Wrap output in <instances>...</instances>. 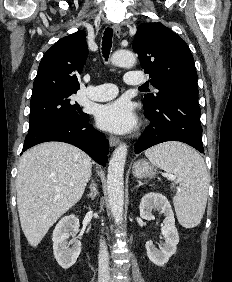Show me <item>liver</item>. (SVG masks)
Wrapping results in <instances>:
<instances>
[{
    "instance_id": "1",
    "label": "liver",
    "mask_w": 232,
    "mask_h": 282,
    "mask_svg": "<svg viewBox=\"0 0 232 282\" xmlns=\"http://www.w3.org/2000/svg\"><path fill=\"white\" fill-rule=\"evenodd\" d=\"M91 175L90 157L70 144L46 142L22 155L17 205L22 230L32 247L81 199Z\"/></svg>"
}]
</instances>
